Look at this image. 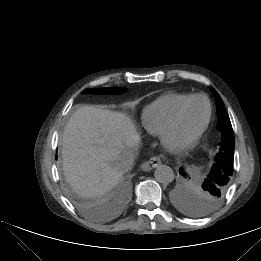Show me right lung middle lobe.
Segmentation results:
<instances>
[{
	"instance_id": "right-lung-middle-lobe-1",
	"label": "right lung middle lobe",
	"mask_w": 261,
	"mask_h": 261,
	"mask_svg": "<svg viewBox=\"0 0 261 261\" xmlns=\"http://www.w3.org/2000/svg\"><path fill=\"white\" fill-rule=\"evenodd\" d=\"M127 89L120 87H110V88H97V89H86L83 92L92 93V94H121L124 93Z\"/></svg>"
}]
</instances>
